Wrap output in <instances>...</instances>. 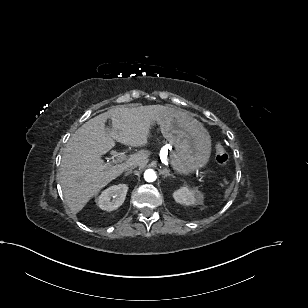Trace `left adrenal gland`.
Returning <instances> with one entry per match:
<instances>
[{
    "label": "left adrenal gland",
    "instance_id": "1",
    "mask_svg": "<svg viewBox=\"0 0 308 308\" xmlns=\"http://www.w3.org/2000/svg\"><path fill=\"white\" fill-rule=\"evenodd\" d=\"M161 173L164 175V178L168 177V176H171V177L175 178V176L173 174H171L168 169L161 170Z\"/></svg>",
    "mask_w": 308,
    "mask_h": 308
}]
</instances>
